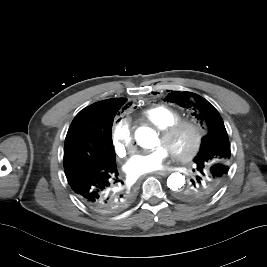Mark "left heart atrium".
Returning a JSON list of instances; mask_svg holds the SVG:
<instances>
[{"mask_svg": "<svg viewBox=\"0 0 267 267\" xmlns=\"http://www.w3.org/2000/svg\"><path fill=\"white\" fill-rule=\"evenodd\" d=\"M168 153V150L162 145L146 152H138L127 161L124 166L125 171L129 177L137 178L159 170L163 167Z\"/></svg>", "mask_w": 267, "mask_h": 267, "instance_id": "39dd6f15", "label": "left heart atrium"}]
</instances>
